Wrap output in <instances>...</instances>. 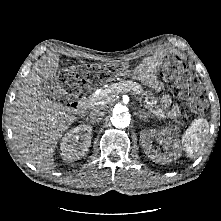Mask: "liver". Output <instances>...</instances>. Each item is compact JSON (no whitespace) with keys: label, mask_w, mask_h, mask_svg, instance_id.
Wrapping results in <instances>:
<instances>
[{"label":"liver","mask_w":221,"mask_h":221,"mask_svg":"<svg viewBox=\"0 0 221 221\" xmlns=\"http://www.w3.org/2000/svg\"><path fill=\"white\" fill-rule=\"evenodd\" d=\"M58 54H44L23 79L9 117L13 139L22 157L39 169L55 168L54 150L63 133L76 121L74 111L52 101L42 84L57 76Z\"/></svg>","instance_id":"1"}]
</instances>
